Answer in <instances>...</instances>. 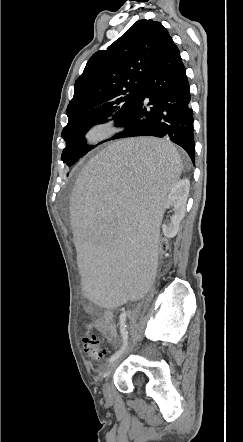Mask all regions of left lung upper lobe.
Wrapping results in <instances>:
<instances>
[{
  "label": "left lung upper lobe",
  "instance_id": "left-lung-upper-lobe-1",
  "mask_svg": "<svg viewBox=\"0 0 243 442\" xmlns=\"http://www.w3.org/2000/svg\"><path fill=\"white\" fill-rule=\"evenodd\" d=\"M168 31L160 22L139 20L106 50L94 53L75 81L62 131V161L73 165L95 146L84 134L95 124L121 125L135 111L146 75L164 48Z\"/></svg>",
  "mask_w": 243,
  "mask_h": 442
}]
</instances>
